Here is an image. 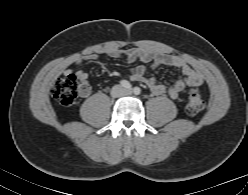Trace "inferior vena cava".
<instances>
[{"mask_svg": "<svg viewBox=\"0 0 248 195\" xmlns=\"http://www.w3.org/2000/svg\"><path fill=\"white\" fill-rule=\"evenodd\" d=\"M123 95H125V90L119 85L115 86L113 90V96L120 97Z\"/></svg>", "mask_w": 248, "mask_h": 195, "instance_id": "obj_1", "label": "inferior vena cava"}]
</instances>
